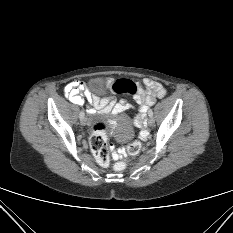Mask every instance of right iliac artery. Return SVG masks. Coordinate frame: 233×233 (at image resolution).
I'll use <instances>...</instances> for the list:
<instances>
[{
	"instance_id": "1",
	"label": "right iliac artery",
	"mask_w": 233,
	"mask_h": 233,
	"mask_svg": "<svg viewBox=\"0 0 233 233\" xmlns=\"http://www.w3.org/2000/svg\"><path fill=\"white\" fill-rule=\"evenodd\" d=\"M79 117H80V119L84 117V112L83 111L80 112Z\"/></svg>"
}]
</instances>
